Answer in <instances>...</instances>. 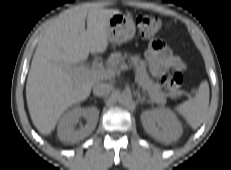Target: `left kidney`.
Segmentation results:
<instances>
[{"label": "left kidney", "instance_id": "1", "mask_svg": "<svg viewBox=\"0 0 231 170\" xmlns=\"http://www.w3.org/2000/svg\"><path fill=\"white\" fill-rule=\"evenodd\" d=\"M141 122L148 134L164 143L177 140L183 133L181 122L167 108L144 111L141 115Z\"/></svg>", "mask_w": 231, "mask_h": 170}]
</instances>
